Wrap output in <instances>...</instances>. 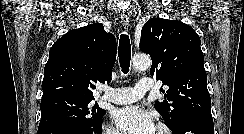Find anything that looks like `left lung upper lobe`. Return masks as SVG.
I'll use <instances>...</instances> for the list:
<instances>
[{"mask_svg": "<svg viewBox=\"0 0 244 134\" xmlns=\"http://www.w3.org/2000/svg\"><path fill=\"white\" fill-rule=\"evenodd\" d=\"M200 38L192 27L177 20L151 18L141 31L140 49L152 59L150 74L169 89V101L154 107L169 128L186 115L212 118L211 99Z\"/></svg>", "mask_w": 244, "mask_h": 134, "instance_id": "1", "label": "left lung upper lobe"}]
</instances>
